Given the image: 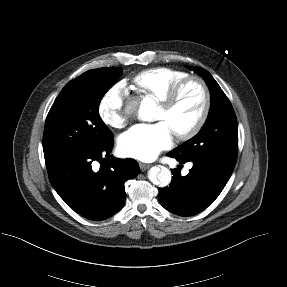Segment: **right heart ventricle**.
<instances>
[{"instance_id": "obj_1", "label": "right heart ventricle", "mask_w": 287, "mask_h": 287, "mask_svg": "<svg viewBox=\"0 0 287 287\" xmlns=\"http://www.w3.org/2000/svg\"><path fill=\"white\" fill-rule=\"evenodd\" d=\"M188 76L182 70L160 67L138 73L133 78V83L140 92L161 101L177 83Z\"/></svg>"}]
</instances>
